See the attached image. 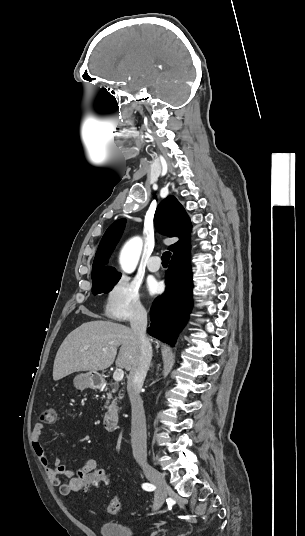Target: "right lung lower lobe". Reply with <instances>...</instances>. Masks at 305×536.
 <instances>
[{
  "instance_id": "98d812e1",
  "label": "right lung lower lobe",
  "mask_w": 305,
  "mask_h": 536,
  "mask_svg": "<svg viewBox=\"0 0 305 536\" xmlns=\"http://www.w3.org/2000/svg\"><path fill=\"white\" fill-rule=\"evenodd\" d=\"M166 291L151 308L148 333L170 345L186 323L192 308L190 252L172 257L165 276Z\"/></svg>"
}]
</instances>
